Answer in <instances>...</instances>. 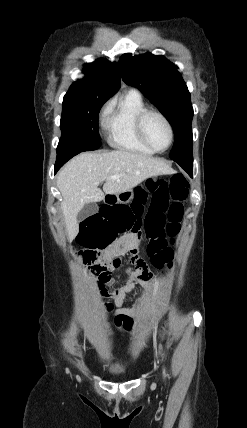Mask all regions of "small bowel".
<instances>
[{"label":"small bowel","mask_w":247,"mask_h":428,"mask_svg":"<svg viewBox=\"0 0 247 428\" xmlns=\"http://www.w3.org/2000/svg\"><path fill=\"white\" fill-rule=\"evenodd\" d=\"M140 241V236L135 234H129L123 236L121 239L117 240L112 246H110L104 253V256L108 260L120 259L121 256L126 254L128 251L133 252L137 250L138 244ZM151 273L148 269V266L143 263L139 266H136V269L129 273L127 281L114 288L111 292V296L113 298V303L109 305V309H114L115 317H123V318H132L139 309L142 307L141 305H134L130 309H122L123 302L127 293L132 291L136 286H145V287H155L154 284L151 283ZM114 281L111 279L107 286H113Z\"/></svg>","instance_id":"c3829d8e"}]
</instances>
